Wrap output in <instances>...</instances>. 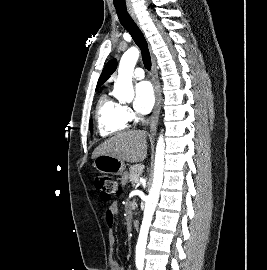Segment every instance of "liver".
<instances>
[{"label":"liver","mask_w":267,"mask_h":270,"mask_svg":"<svg viewBox=\"0 0 267 270\" xmlns=\"http://www.w3.org/2000/svg\"><path fill=\"white\" fill-rule=\"evenodd\" d=\"M146 133L141 130L119 132L105 140L92 153V159L99 155H110L119 160L136 163L147 156Z\"/></svg>","instance_id":"obj_1"}]
</instances>
